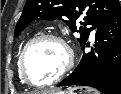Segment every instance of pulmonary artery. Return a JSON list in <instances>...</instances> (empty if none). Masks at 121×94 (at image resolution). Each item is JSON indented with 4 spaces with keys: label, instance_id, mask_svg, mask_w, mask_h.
<instances>
[{
    "label": "pulmonary artery",
    "instance_id": "obj_1",
    "mask_svg": "<svg viewBox=\"0 0 121 94\" xmlns=\"http://www.w3.org/2000/svg\"><path fill=\"white\" fill-rule=\"evenodd\" d=\"M95 33H96V30L94 29L91 33V36L94 37L95 36Z\"/></svg>",
    "mask_w": 121,
    "mask_h": 94
}]
</instances>
